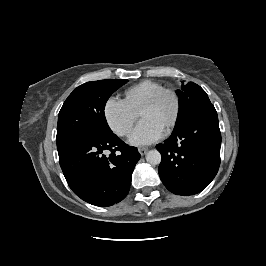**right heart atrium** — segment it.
<instances>
[{
    "label": "right heart atrium",
    "mask_w": 266,
    "mask_h": 266,
    "mask_svg": "<svg viewBox=\"0 0 266 266\" xmlns=\"http://www.w3.org/2000/svg\"><path fill=\"white\" fill-rule=\"evenodd\" d=\"M103 112L110 129L121 137L129 135L139 116L126 100L116 97L106 100Z\"/></svg>",
    "instance_id": "d8ad5b80"
}]
</instances>
